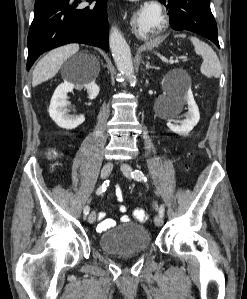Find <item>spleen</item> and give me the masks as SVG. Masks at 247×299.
I'll return each mask as SVG.
<instances>
[{"label": "spleen", "instance_id": "obj_1", "mask_svg": "<svg viewBox=\"0 0 247 299\" xmlns=\"http://www.w3.org/2000/svg\"><path fill=\"white\" fill-rule=\"evenodd\" d=\"M176 37H186L184 34L177 35ZM191 42L194 45L196 54L201 55L203 63L200 67V71L208 78H218L221 74V64L218 56L214 50L205 42L201 41L197 37H190Z\"/></svg>", "mask_w": 247, "mask_h": 299}]
</instances>
